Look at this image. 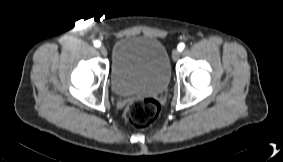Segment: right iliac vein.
<instances>
[{"label": "right iliac vein", "mask_w": 283, "mask_h": 162, "mask_svg": "<svg viewBox=\"0 0 283 162\" xmlns=\"http://www.w3.org/2000/svg\"><path fill=\"white\" fill-rule=\"evenodd\" d=\"M99 51H100V53H101L103 56H106V55H107V49H106L105 46H103V45L100 46Z\"/></svg>", "instance_id": "obj_1"}]
</instances>
